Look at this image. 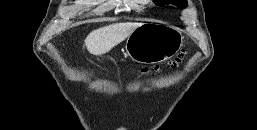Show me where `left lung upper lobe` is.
<instances>
[{
    "instance_id": "1",
    "label": "left lung upper lobe",
    "mask_w": 257,
    "mask_h": 130,
    "mask_svg": "<svg viewBox=\"0 0 257 130\" xmlns=\"http://www.w3.org/2000/svg\"><path fill=\"white\" fill-rule=\"evenodd\" d=\"M155 3L158 4H174L178 6L179 8L183 9L187 5V0H155Z\"/></svg>"
}]
</instances>
